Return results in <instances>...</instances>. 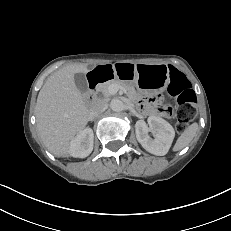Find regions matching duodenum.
Returning a JSON list of instances; mask_svg holds the SVG:
<instances>
[{
	"label": "duodenum",
	"instance_id": "1",
	"mask_svg": "<svg viewBox=\"0 0 231 231\" xmlns=\"http://www.w3.org/2000/svg\"><path fill=\"white\" fill-rule=\"evenodd\" d=\"M105 77V69H99L94 71L89 77V84H90V93L88 94L87 98L91 100L95 95V90L99 82L103 80Z\"/></svg>",
	"mask_w": 231,
	"mask_h": 231
}]
</instances>
